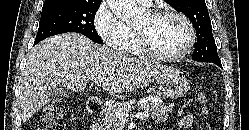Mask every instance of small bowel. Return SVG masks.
<instances>
[{
  "label": "small bowel",
  "instance_id": "obj_1",
  "mask_svg": "<svg viewBox=\"0 0 249 130\" xmlns=\"http://www.w3.org/2000/svg\"><path fill=\"white\" fill-rule=\"evenodd\" d=\"M193 119L191 116L186 115L183 116L178 122H177V126L178 128L184 130L189 128L192 125Z\"/></svg>",
  "mask_w": 249,
  "mask_h": 130
}]
</instances>
